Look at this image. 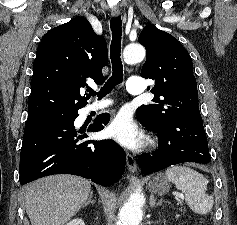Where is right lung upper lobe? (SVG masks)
Segmentation results:
<instances>
[{
  "label": "right lung upper lobe",
  "mask_w": 237,
  "mask_h": 225,
  "mask_svg": "<svg viewBox=\"0 0 237 225\" xmlns=\"http://www.w3.org/2000/svg\"><path fill=\"white\" fill-rule=\"evenodd\" d=\"M108 63L106 40L77 17L48 31L33 63L28 117L75 111L87 104L80 91L87 79L102 84Z\"/></svg>",
  "instance_id": "obj_1"
}]
</instances>
